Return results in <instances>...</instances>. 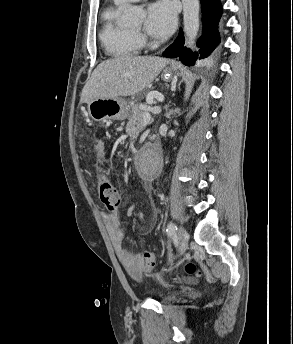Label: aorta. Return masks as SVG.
Masks as SVG:
<instances>
[{
    "mask_svg": "<svg viewBox=\"0 0 293 344\" xmlns=\"http://www.w3.org/2000/svg\"><path fill=\"white\" fill-rule=\"evenodd\" d=\"M183 4V20H184V32L187 37V43L192 46L199 31V12L200 3L199 0H182ZM144 14L140 7H129L126 9L123 19L126 24H134ZM156 154L154 152H143L138 160V170L141 173H145L155 167Z\"/></svg>",
    "mask_w": 293,
    "mask_h": 344,
    "instance_id": "aorta-1",
    "label": "aorta"
}]
</instances>
